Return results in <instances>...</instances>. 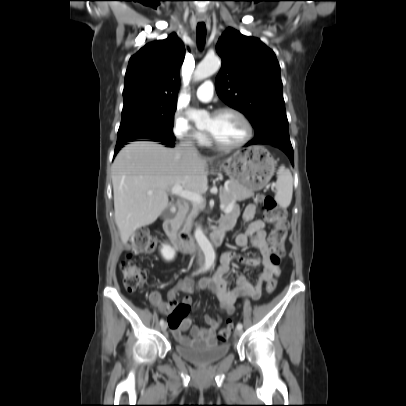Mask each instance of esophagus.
Returning <instances> with one entry per match:
<instances>
[{
    "label": "esophagus",
    "mask_w": 406,
    "mask_h": 406,
    "mask_svg": "<svg viewBox=\"0 0 406 406\" xmlns=\"http://www.w3.org/2000/svg\"><path fill=\"white\" fill-rule=\"evenodd\" d=\"M199 20H200L201 22L206 21V19H205V18H200Z\"/></svg>",
    "instance_id": "esophagus-1"
}]
</instances>
